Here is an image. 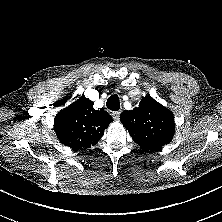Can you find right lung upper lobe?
<instances>
[{
  "label": "right lung upper lobe",
  "mask_w": 222,
  "mask_h": 222,
  "mask_svg": "<svg viewBox=\"0 0 222 222\" xmlns=\"http://www.w3.org/2000/svg\"><path fill=\"white\" fill-rule=\"evenodd\" d=\"M111 122L113 119L106 111L95 110L93 102L82 96L56 115L54 130L65 146L87 149L100 140Z\"/></svg>",
  "instance_id": "obj_1"
}]
</instances>
